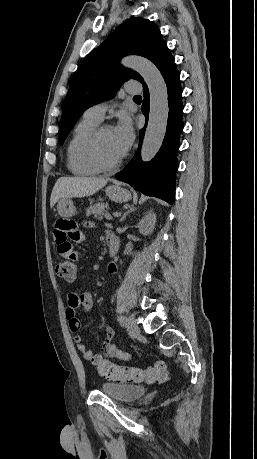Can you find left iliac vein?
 Masks as SVG:
<instances>
[{"instance_id":"1","label":"left iliac vein","mask_w":257,"mask_h":459,"mask_svg":"<svg viewBox=\"0 0 257 459\" xmlns=\"http://www.w3.org/2000/svg\"><path fill=\"white\" fill-rule=\"evenodd\" d=\"M128 322H129V330H130V333L133 335V336H138L140 334V328L139 326L137 325L136 323V320L134 318L133 315H130L128 317Z\"/></svg>"}]
</instances>
